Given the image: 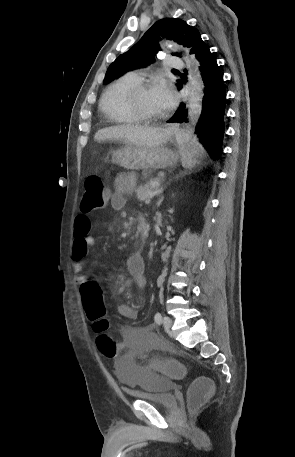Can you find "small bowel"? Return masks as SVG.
I'll use <instances>...</instances> for the list:
<instances>
[{
	"instance_id": "c3829d8e",
	"label": "small bowel",
	"mask_w": 295,
	"mask_h": 457,
	"mask_svg": "<svg viewBox=\"0 0 295 457\" xmlns=\"http://www.w3.org/2000/svg\"><path fill=\"white\" fill-rule=\"evenodd\" d=\"M135 187V179L132 175L121 174L115 180V191L110 195V207L114 211L123 209L126 203V195L132 192ZM74 244L72 250L73 271L77 282L83 286L89 278L83 274L84 258L90 247L94 245V238L91 235V222L87 215L78 214L74 221ZM126 267L133 276L136 285L140 289L147 286V280L144 275V261L139 253H134L125 259ZM118 313L127 319L136 320L137 311L129 304H119ZM155 326L153 324L144 327L123 328L124 340L121 342V351L125 350L126 345H137L140 342H159L154 334ZM105 356V355H104Z\"/></svg>"
}]
</instances>
